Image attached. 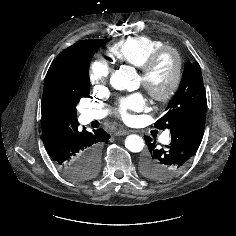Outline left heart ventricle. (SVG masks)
<instances>
[{"label": "left heart ventricle", "mask_w": 236, "mask_h": 236, "mask_svg": "<svg viewBox=\"0 0 236 236\" xmlns=\"http://www.w3.org/2000/svg\"><path fill=\"white\" fill-rule=\"evenodd\" d=\"M174 66L175 63L172 55H165L151 75L150 81L152 85L160 90L166 89L172 79ZM138 79L142 83L140 76H138Z\"/></svg>", "instance_id": "left-heart-ventricle-1"}]
</instances>
